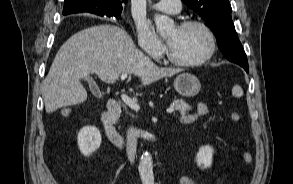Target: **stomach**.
Wrapping results in <instances>:
<instances>
[{
	"label": "stomach",
	"mask_w": 293,
	"mask_h": 184,
	"mask_svg": "<svg viewBox=\"0 0 293 184\" xmlns=\"http://www.w3.org/2000/svg\"><path fill=\"white\" fill-rule=\"evenodd\" d=\"M175 90L184 97H193L201 90L198 78L190 73H182L174 80Z\"/></svg>",
	"instance_id": "obj_1"
}]
</instances>
